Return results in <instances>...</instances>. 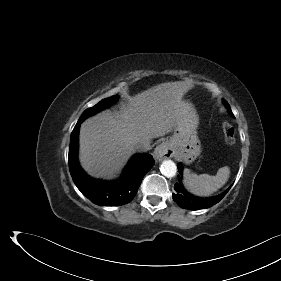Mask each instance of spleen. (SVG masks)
<instances>
[{"label": "spleen", "mask_w": 281, "mask_h": 281, "mask_svg": "<svg viewBox=\"0 0 281 281\" xmlns=\"http://www.w3.org/2000/svg\"><path fill=\"white\" fill-rule=\"evenodd\" d=\"M230 176L227 166L220 168L215 176L208 174L197 175L187 168L183 171V183L185 188L194 195L207 197L225 185Z\"/></svg>", "instance_id": "spleen-1"}]
</instances>
